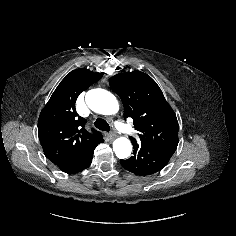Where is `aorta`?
<instances>
[{
  "instance_id": "762f6f07",
  "label": "aorta",
  "mask_w": 236,
  "mask_h": 236,
  "mask_svg": "<svg viewBox=\"0 0 236 236\" xmlns=\"http://www.w3.org/2000/svg\"><path fill=\"white\" fill-rule=\"evenodd\" d=\"M85 100L91 110L102 115H112L119 110L116 97L104 89L88 91ZM113 151L119 159L128 158L132 151V144L126 137L117 138L113 143Z\"/></svg>"
}]
</instances>
